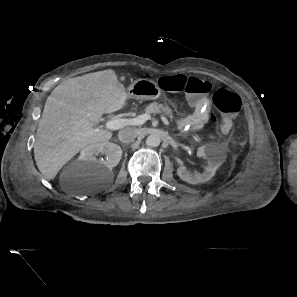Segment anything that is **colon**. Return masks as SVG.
Masks as SVG:
<instances>
[{
  "label": "colon",
  "instance_id": "1",
  "mask_svg": "<svg viewBox=\"0 0 297 297\" xmlns=\"http://www.w3.org/2000/svg\"><path fill=\"white\" fill-rule=\"evenodd\" d=\"M158 85L165 91L184 93L195 101L205 98L212 91L209 81L184 75L161 77L158 80ZM213 104L216 112L212 114V120L216 124L217 133L224 136L230 131L241 109V99L237 94L227 89H219L213 96Z\"/></svg>",
  "mask_w": 297,
  "mask_h": 297
}]
</instances>
